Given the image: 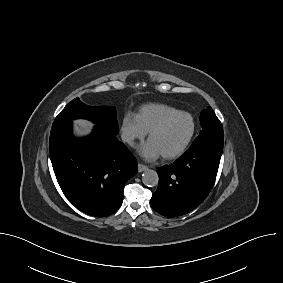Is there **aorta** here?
<instances>
[{
    "instance_id": "762f6f07",
    "label": "aorta",
    "mask_w": 283,
    "mask_h": 283,
    "mask_svg": "<svg viewBox=\"0 0 283 283\" xmlns=\"http://www.w3.org/2000/svg\"><path fill=\"white\" fill-rule=\"evenodd\" d=\"M159 178L156 171L148 169L142 175V182L148 187H154L158 184Z\"/></svg>"
}]
</instances>
